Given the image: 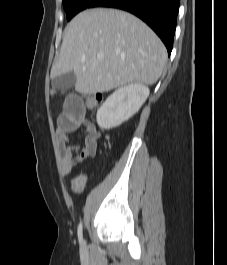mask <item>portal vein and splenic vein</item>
<instances>
[{
    "label": "portal vein and splenic vein",
    "mask_w": 227,
    "mask_h": 265,
    "mask_svg": "<svg viewBox=\"0 0 227 265\" xmlns=\"http://www.w3.org/2000/svg\"><path fill=\"white\" fill-rule=\"evenodd\" d=\"M98 58L99 59H103L104 58V55L103 54H98Z\"/></svg>",
    "instance_id": "obj_1"
}]
</instances>
